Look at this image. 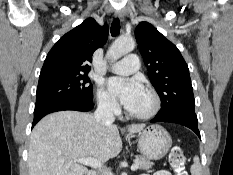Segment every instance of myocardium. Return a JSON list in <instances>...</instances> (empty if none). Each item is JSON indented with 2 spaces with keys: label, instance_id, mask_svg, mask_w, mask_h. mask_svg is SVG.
<instances>
[{
  "label": "myocardium",
  "instance_id": "f54148a6",
  "mask_svg": "<svg viewBox=\"0 0 233 175\" xmlns=\"http://www.w3.org/2000/svg\"><path fill=\"white\" fill-rule=\"evenodd\" d=\"M144 92L150 97L151 99V106L148 110L140 113H133L126 109V115L129 118L137 119V120H147L154 117L161 108V99L158 93L152 88H145Z\"/></svg>",
  "mask_w": 233,
  "mask_h": 175
}]
</instances>
